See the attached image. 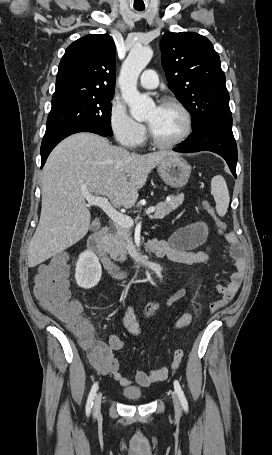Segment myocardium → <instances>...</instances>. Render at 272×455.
<instances>
[{
	"label": "myocardium",
	"mask_w": 272,
	"mask_h": 455,
	"mask_svg": "<svg viewBox=\"0 0 272 455\" xmlns=\"http://www.w3.org/2000/svg\"><path fill=\"white\" fill-rule=\"evenodd\" d=\"M159 106H172V107L177 108L181 112V114L183 115V118H184V123H185L184 130L178 138H176L172 141H161L158 138H156V136L153 134L151 128L148 127V136H149L150 142L155 147L163 148V149L176 147V146L180 145L181 143H183L191 135L192 130H193L192 115H191L190 111L188 110V108L182 102H180L179 100L174 99V98L163 99L160 102Z\"/></svg>",
	"instance_id": "myocardium-1"
}]
</instances>
